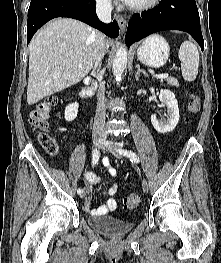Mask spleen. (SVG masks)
I'll list each match as a JSON object with an SVG mask.
<instances>
[{"mask_svg":"<svg viewBox=\"0 0 221 263\" xmlns=\"http://www.w3.org/2000/svg\"><path fill=\"white\" fill-rule=\"evenodd\" d=\"M181 72L183 78L191 82L195 80L199 67V52L196 45L191 41H184L179 49Z\"/></svg>","mask_w":221,"mask_h":263,"instance_id":"spleen-1","label":"spleen"}]
</instances>
